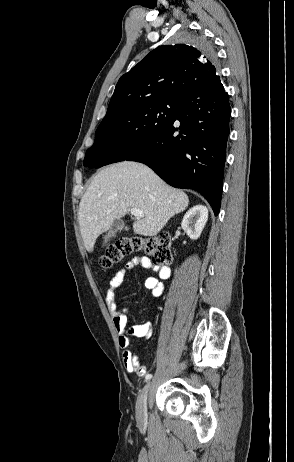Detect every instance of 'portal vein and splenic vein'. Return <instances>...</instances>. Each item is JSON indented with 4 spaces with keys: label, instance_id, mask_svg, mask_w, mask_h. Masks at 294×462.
I'll list each match as a JSON object with an SVG mask.
<instances>
[{
    "label": "portal vein and splenic vein",
    "instance_id": "portal-vein-and-splenic-vein-1",
    "mask_svg": "<svg viewBox=\"0 0 294 462\" xmlns=\"http://www.w3.org/2000/svg\"><path fill=\"white\" fill-rule=\"evenodd\" d=\"M130 213L132 216H134L135 218H142L144 217V214L141 210L139 209H136V208H131L130 209Z\"/></svg>",
    "mask_w": 294,
    "mask_h": 462
}]
</instances>
